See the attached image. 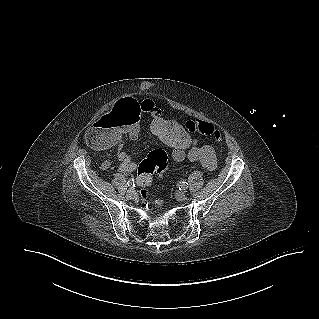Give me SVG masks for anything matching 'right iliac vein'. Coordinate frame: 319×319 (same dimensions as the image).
Listing matches in <instances>:
<instances>
[{
    "mask_svg": "<svg viewBox=\"0 0 319 319\" xmlns=\"http://www.w3.org/2000/svg\"><path fill=\"white\" fill-rule=\"evenodd\" d=\"M127 197L130 198V199H133L137 196V192L134 188H131L127 191Z\"/></svg>",
    "mask_w": 319,
    "mask_h": 319,
    "instance_id": "right-iliac-vein-1",
    "label": "right iliac vein"
}]
</instances>
